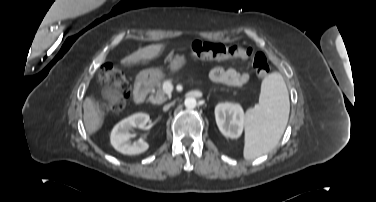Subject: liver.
<instances>
[{
	"label": "liver",
	"instance_id": "6515ba94",
	"mask_svg": "<svg viewBox=\"0 0 376 202\" xmlns=\"http://www.w3.org/2000/svg\"><path fill=\"white\" fill-rule=\"evenodd\" d=\"M164 47L165 46L163 44H152L144 48H140L136 52L123 58L120 63L124 66H130L137 63H145L156 58ZM83 109L85 129L88 134H93L102 126L103 116L98 110L95 102L89 97L84 100Z\"/></svg>",
	"mask_w": 376,
	"mask_h": 202
}]
</instances>
